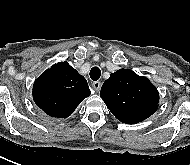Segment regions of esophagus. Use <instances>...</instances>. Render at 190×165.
<instances>
[{
    "instance_id": "34e87169",
    "label": "esophagus",
    "mask_w": 190,
    "mask_h": 165,
    "mask_svg": "<svg viewBox=\"0 0 190 165\" xmlns=\"http://www.w3.org/2000/svg\"><path fill=\"white\" fill-rule=\"evenodd\" d=\"M92 87L96 92H99L101 89V83L99 81H95L92 83Z\"/></svg>"
}]
</instances>
